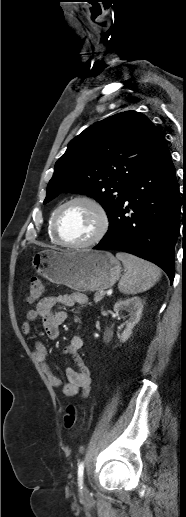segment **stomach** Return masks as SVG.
<instances>
[{
	"instance_id": "obj_1",
	"label": "stomach",
	"mask_w": 186,
	"mask_h": 517,
	"mask_svg": "<svg viewBox=\"0 0 186 517\" xmlns=\"http://www.w3.org/2000/svg\"><path fill=\"white\" fill-rule=\"evenodd\" d=\"M32 265L50 282L78 292L107 289L121 274V265L110 252L90 249L44 250L33 256Z\"/></svg>"
}]
</instances>
